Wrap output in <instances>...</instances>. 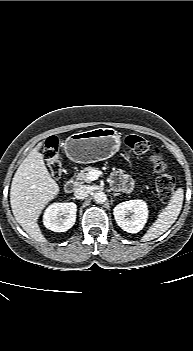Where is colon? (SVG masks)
<instances>
[{
	"label": "colon",
	"instance_id": "obj_1",
	"mask_svg": "<svg viewBox=\"0 0 193 351\" xmlns=\"http://www.w3.org/2000/svg\"><path fill=\"white\" fill-rule=\"evenodd\" d=\"M125 144L136 154L146 155L152 164L157 178L155 182L156 191L163 202L171 199L175 191V179L168 170V165L160 151L151 143L136 134H130L125 138ZM43 158L48 165L51 177L59 180L62 173L61 162L59 159V141L52 136L45 142Z\"/></svg>",
	"mask_w": 193,
	"mask_h": 351
}]
</instances>
